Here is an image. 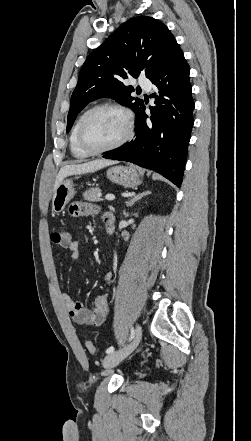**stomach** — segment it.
I'll return each mask as SVG.
<instances>
[{"mask_svg": "<svg viewBox=\"0 0 251 441\" xmlns=\"http://www.w3.org/2000/svg\"><path fill=\"white\" fill-rule=\"evenodd\" d=\"M107 177L113 183L124 186L125 188H134L140 184V178L137 171L128 166H115L107 170ZM75 189L72 179H64L53 193L52 210L59 213L75 195Z\"/></svg>", "mask_w": 251, "mask_h": 441, "instance_id": "0dacf381", "label": "stomach"}]
</instances>
